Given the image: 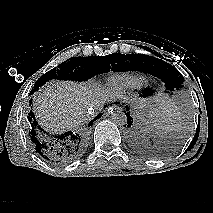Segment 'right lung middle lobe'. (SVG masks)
I'll return each mask as SVG.
<instances>
[{"mask_svg": "<svg viewBox=\"0 0 213 213\" xmlns=\"http://www.w3.org/2000/svg\"><path fill=\"white\" fill-rule=\"evenodd\" d=\"M123 54H109L108 56H90V57H72L61 63L57 68L50 70L42 75L34 87H40L51 79L58 80H76L86 81L91 77L101 74L103 72H109L115 70V67L125 66L124 61H120V57ZM114 68V69H113Z\"/></svg>", "mask_w": 213, "mask_h": 213, "instance_id": "obj_1", "label": "right lung middle lobe"}]
</instances>
